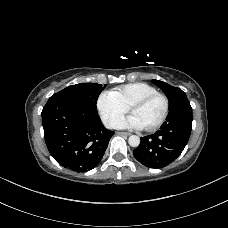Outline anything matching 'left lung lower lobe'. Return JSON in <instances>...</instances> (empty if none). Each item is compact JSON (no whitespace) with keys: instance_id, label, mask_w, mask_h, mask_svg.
I'll return each instance as SVG.
<instances>
[{"instance_id":"1","label":"left lung lower lobe","mask_w":228,"mask_h":228,"mask_svg":"<svg viewBox=\"0 0 228 228\" xmlns=\"http://www.w3.org/2000/svg\"><path fill=\"white\" fill-rule=\"evenodd\" d=\"M192 129V107L184 101L178 110H169L166 122L153 135L141 138L133 151L135 158L149 168H162L172 163L185 148Z\"/></svg>"}]
</instances>
